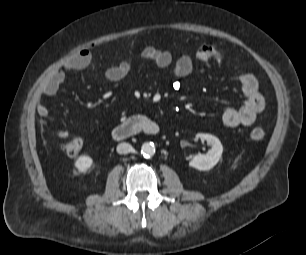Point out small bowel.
<instances>
[{"label": "small bowel", "mask_w": 306, "mask_h": 255, "mask_svg": "<svg viewBox=\"0 0 306 255\" xmlns=\"http://www.w3.org/2000/svg\"><path fill=\"white\" fill-rule=\"evenodd\" d=\"M142 58L152 62L158 68H167L173 64L174 75L178 78H185L192 74L196 65L205 64L211 60H221L223 54L212 45H202L193 53H181L176 58L167 50H161L149 45L142 50ZM91 61V52L82 49L76 53L64 66L63 69L52 72L42 83L36 98L37 113L40 117L46 118L49 109L43 100L44 96H53L65 80V73L85 68ZM131 71V64L128 60H122L118 64L108 67L104 71V77L111 82H117ZM241 91L245 102L238 108H227L222 114V121L225 126L235 128L238 126H250L265 107V101L259 91L256 77L251 73L239 75ZM60 139H66L69 132L65 129L56 131Z\"/></svg>", "instance_id": "1"}]
</instances>
